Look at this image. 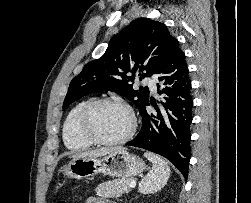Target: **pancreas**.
<instances>
[{"mask_svg": "<svg viewBox=\"0 0 251 203\" xmlns=\"http://www.w3.org/2000/svg\"><path fill=\"white\" fill-rule=\"evenodd\" d=\"M132 181V179L127 178L103 182L96 188V193L105 198H117L130 191L129 185Z\"/></svg>", "mask_w": 251, "mask_h": 203, "instance_id": "pancreas-1", "label": "pancreas"}]
</instances>
